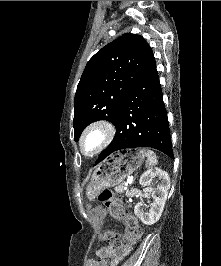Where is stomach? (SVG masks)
Segmentation results:
<instances>
[{"label":"stomach","mask_w":221,"mask_h":266,"mask_svg":"<svg viewBox=\"0 0 221 266\" xmlns=\"http://www.w3.org/2000/svg\"><path fill=\"white\" fill-rule=\"evenodd\" d=\"M144 160L145 153L138 149L110 155L95 168L86 188L87 197L92 200L105 188L119 184L139 168Z\"/></svg>","instance_id":"stomach-1"}]
</instances>
